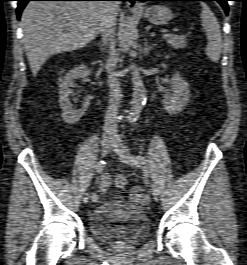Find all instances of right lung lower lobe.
I'll use <instances>...</instances> for the list:
<instances>
[{"label":"right lung lower lobe","instance_id":"1","mask_svg":"<svg viewBox=\"0 0 247 265\" xmlns=\"http://www.w3.org/2000/svg\"><path fill=\"white\" fill-rule=\"evenodd\" d=\"M17 18L20 19V15L24 7L29 1H102V0H17ZM117 1H125V0H117Z\"/></svg>","mask_w":247,"mask_h":265}]
</instances>
